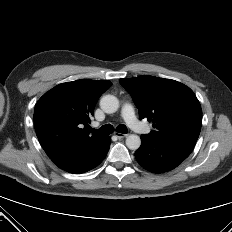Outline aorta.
<instances>
[{"instance_id":"aorta-1","label":"aorta","mask_w":232,"mask_h":232,"mask_svg":"<svg viewBox=\"0 0 232 232\" xmlns=\"http://www.w3.org/2000/svg\"><path fill=\"white\" fill-rule=\"evenodd\" d=\"M101 109L108 114L115 113L119 108V100L113 95H105L100 100ZM141 145L138 135L131 134L126 138V146L131 150H137Z\"/></svg>"}]
</instances>
